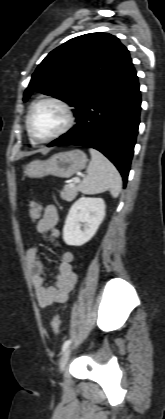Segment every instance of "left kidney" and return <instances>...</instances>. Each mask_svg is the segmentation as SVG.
I'll use <instances>...</instances> for the list:
<instances>
[{"instance_id": "obj_1", "label": "left kidney", "mask_w": 165, "mask_h": 419, "mask_svg": "<svg viewBox=\"0 0 165 419\" xmlns=\"http://www.w3.org/2000/svg\"><path fill=\"white\" fill-rule=\"evenodd\" d=\"M105 208L102 198H79L70 208L66 218L63 228L64 242L73 246H81L88 242L102 223Z\"/></svg>"}]
</instances>
